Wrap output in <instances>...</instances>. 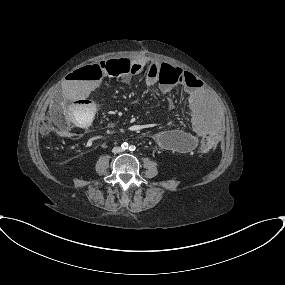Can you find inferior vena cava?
<instances>
[{
  "mask_svg": "<svg viewBox=\"0 0 285 285\" xmlns=\"http://www.w3.org/2000/svg\"><path fill=\"white\" fill-rule=\"evenodd\" d=\"M122 151L123 150H122L121 147H114L113 150H112L113 153H119V152H122Z\"/></svg>",
  "mask_w": 285,
  "mask_h": 285,
  "instance_id": "602c4592",
  "label": "inferior vena cava"
}]
</instances>
